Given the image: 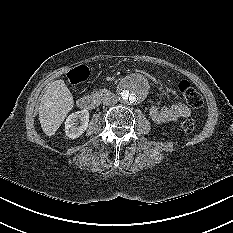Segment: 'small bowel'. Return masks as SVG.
Here are the masks:
<instances>
[{
    "mask_svg": "<svg viewBox=\"0 0 233 233\" xmlns=\"http://www.w3.org/2000/svg\"><path fill=\"white\" fill-rule=\"evenodd\" d=\"M149 113L155 123L165 124L188 117L190 115V109L185 103L179 102L162 107L154 105L150 108Z\"/></svg>",
    "mask_w": 233,
    "mask_h": 233,
    "instance_id": "obj_1",
    "label": "small bowel"
}]
</instances>
